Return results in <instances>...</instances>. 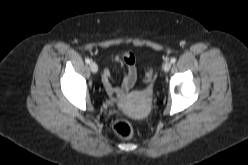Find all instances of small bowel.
<instances>
[{
    "label": "small bowel",
    "instance_id": "1",
    "mask_svg": "<svg viewBox=\"0 0 248 165\" xmlns=\"http://www.w3.org/2000/svg\"><path fill=\"white\" fill-rule=\"evenodd\" d=\"M114 61L117 64L123 65L126 68V74L119 85H114L111 79L109 69H104L102 73L103 84L109 94H113L119 98L123 97L126 92L134 87L137 81L136 57L131 52L119 53L114 56Z\"/></svg>",
    "mask_w": 248,
    "mask_h": 165
}]
</instances>
